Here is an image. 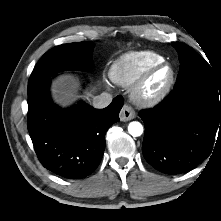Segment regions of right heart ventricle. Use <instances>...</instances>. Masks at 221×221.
Segmentation results:
<instances>
[{"label": "right heart ventricle", "instance_id": "right-heart-ventricle-1", "mask_svg": "<svg viewBox=\"0 0 221 221\" xmlns=\"http://www.w3.org/2000/svg\"><path fill=\"white\" fill-rule=\"evenodd\" d=\"M164 60L162 55L154 51L128 52L115 60L109 75L115 83L129 87L135 84L149 67Z\"/></svg>", "mask_w": 221, "mask_h": 221}]
</instances>
